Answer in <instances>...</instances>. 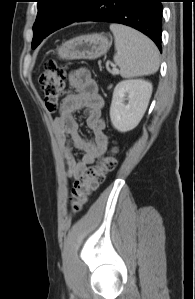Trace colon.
Wrapping results in <instances>:
<instances>
[{"label": "colon", "mask_w": 195, "mask_h": 299, "mask_svg": "<svg viewBox=\"0 0 195 299\" xmlns=\"http://www.w3.org/2000/svg\"><path fill=\"white\" fill-rule=\"evenodd\" d=\"M65 82V67L54 60L47 61L39 77V83L45 106L50 113H54L58 108ZM115 153L116 148L112 147L98 159L95 165L90 166L81 178L75 181L69 199L73 213H78L84 208L91 194L104 182L106 174L114 170Z\"/></svg>", "instance_id": "1"}]
</instances>
